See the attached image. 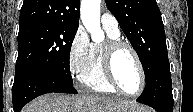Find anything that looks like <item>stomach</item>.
Instances as JSON below:
<instances>
[{"mask_svg": "<svg viewBox=\"0 0 193 112\" xmlns=\"http://www.w3.org/2000/svg\"><path fill=\"white\" fill-rule=\"evenodd\" d=\"M145 110H142L141 108L137 109L136 111L129 110L128 112H144Z\"/></svg>", "mask_w": 193, "mask_h": 112, "instance_id": "0dacf381", "label": "stomach"}]
</instances>
